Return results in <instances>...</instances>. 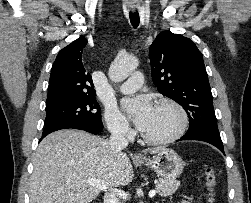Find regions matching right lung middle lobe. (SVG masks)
I'll return each instance as SVG.
<instances>
[{
  "instance_id": "dd1d6c3e",
  "label": "right lung middle lobe",
  "mask_w": 251,
  "mask_h": 203,
  "mask_svg": "<svg viewBox=\"0 0 251 203\" xmlns=\"http://www.w3.org/2000/svg\"><path fill=\"white\" fill-rule=\"evenodd\" d=\"M67 121L83 122L101 131L103 124L96 98H84L46 107L45 127Z\"/></svg>"
}]
</instances>
